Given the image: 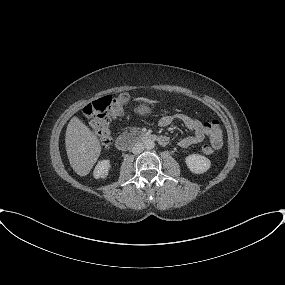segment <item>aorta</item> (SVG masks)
Masks as SVG:
<instances>
[{"label": "aorta", "mask_w": 285, "mask_h": 285, "mask_svg": "<svg viewBox=\"0 0 285 285\" xmlns=\"http://www.w3.org/2000/svg\"><path fill=\"white\" fill-rule=\"evenodd\" d=\"M144 147L147 149V150H151L155 147V143L153 140L151 139H147L145 142H144Z\"/></svg>", "instance_id": "1"}]
</instances>
